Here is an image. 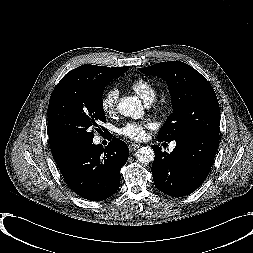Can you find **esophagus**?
<instances>
[{"label": "esophagus", "mask_w": 253, "mask_h": 253, "mask_svg": "<svg viewBox=\"0 0 253 253\" xmlns=\"http://www.w3.org/2000/svg\"><path fill=\"white\" fill-rule=\"evenodd\" d=\"M138 148H139V145H138V144L131 143V144L129 145V150H130L131 152H134V151L137 150Z\"/></svg>", "instance_id": "1"}]
</instances>
